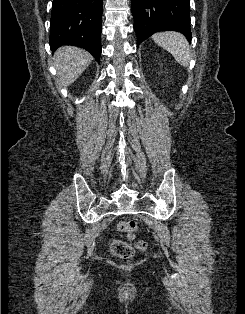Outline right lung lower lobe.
I'll list each match as a JSON object with an SVG mask.
<instances>
[{
    "label": "right lung lower lobe",
    "mask_w": 245,
    "mask_h": 314,
    "mask_svg": "<svg viewBox=\"0 0 245 314\" xmlns=\"http://www.w3.org/2000/svg\"><path fill=\"white\" fill-rule=\"evenodd\" d=\"M103 0H53L50 19V47L76 45L100 61Z\"/></svg>",
    "instance_id": "98d812e1"
}]
</instances>
